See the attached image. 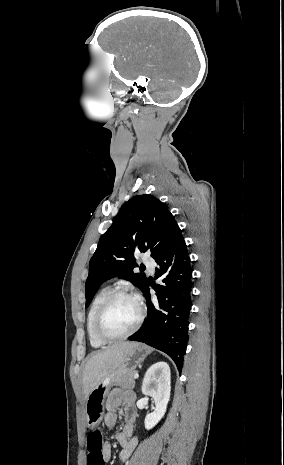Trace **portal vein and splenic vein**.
I'll list each match as a JSON object with an SVG mask.
<instances>
[{
    "mask_svg": "<svg viewBox=\"0 0 284 465\" xmlns=\"http://www.w3.org/2000/svg\"><path fill=\"white\" fill-rule=\"evenodd\" d=\"M139 375L138 373H136V375H134V379H138Z\"/></svg>",
    "mask_w": 284,
    "mask_h": 465,
    "instance_id": "18ae733b",
    "label": "portal vein and splenic vein"
}]
</instances>
